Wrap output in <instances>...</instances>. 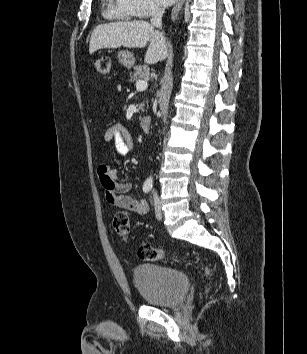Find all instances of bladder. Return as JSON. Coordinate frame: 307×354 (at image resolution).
Instances as JSON below:
<instances>
[{
  "instance_id": "bladder-1",
  "label": "bladder",
  "mask_w": 307,
  "mask_h": 354,
  "mask_svg": "<svg viewBox=\"0 0 307 354\" xmlns=\"http://www.w3.org/2000/svg\"><path fill=\"white\" fill-rule=\"evenodd\" d=\"M133 280L143 299L156 306L171 307L179 304L189 287L184 272L155 263L136 266Z\"/></svg>"
}]
</instances>
